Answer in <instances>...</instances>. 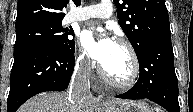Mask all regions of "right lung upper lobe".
I'll list each match as a JSON object with an SVG mask.
<instances>
[{"instance_id": "1", "label": "right lung upper lobe", "mask_w": 193, "mask_h": 112, "mask_svg": "<svg viewBox=\"0 0 193 112\" xmlns=\"http://www.w3.org/2000/svg\"><path fill=\"white\" fill-rule=\"evenodd\" d=\"M74 3L79 0H73ZM69 0H18L16 30L36 24L61 23Z\"/></svg>"}]
</instances>
